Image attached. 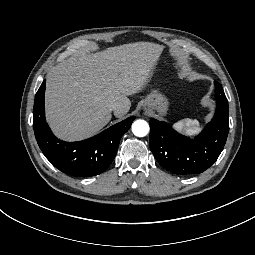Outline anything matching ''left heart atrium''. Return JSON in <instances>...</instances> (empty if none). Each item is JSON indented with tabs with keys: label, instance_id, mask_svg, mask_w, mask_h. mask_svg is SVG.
Listing matches in <instances>:
<instances>
[{
	"label": "left heart atrium",
	"instance_id": "39dd6f15",
	"mask_svg": "<svg viewBox=\"0 0 255 255\" xmlns=\"http://www.w3.org/2000/svg\"><path fill=\"white\" fill-rule=\"evenodd\" d=\"M139 84V78L134 72H127L118 75L112 87L115 90L130 92V88Z\"/></svg>",
	"mask_w": 255,
	"mask_h": 255
}]
</instances>
